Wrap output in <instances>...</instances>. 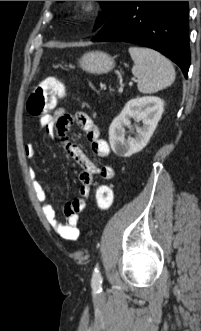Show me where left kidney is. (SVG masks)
<instances>
[{"label":"left kidney","mask_w":201,"mask_h":331,"mask_svg":"<svg viewBox=\"0 0 201 331\" xmlns=\"http://www.w3.org/2000/svg\"><path fill=\"white\" fill-rule=\"evenodd\" d=\"M164 110V102L155 96H144L128 101L122 112L109 127V142L113 152L121 157H130L141 151L149 142ZM130 118L142 121L137 134L125 139V127H130Z\"/></svg>","instance_id":"left-kidney-1"}]
</instances>
